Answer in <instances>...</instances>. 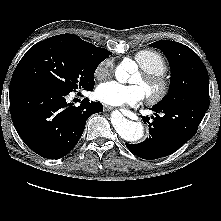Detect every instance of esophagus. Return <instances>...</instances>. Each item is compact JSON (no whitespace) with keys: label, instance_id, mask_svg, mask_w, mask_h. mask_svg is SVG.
<instances>
[{"label":"esophagus","instance_id":"34e87169","mask_svg":"<svg viewBox=\"0 0 221 221\" xmlns=\"http://www.w3.org/2000/svg\"><path fill=\"white\" fill-rule=\"evenodd\" d=\"M105 110H106V111H110V110H112V107L109 106V105H105Z\"/></svg>","mask_w":221,"mask_h":221}]
</instances>
